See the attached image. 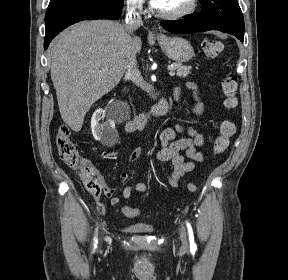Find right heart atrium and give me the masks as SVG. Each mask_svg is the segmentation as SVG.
<instances>
[{
  "mask_svg": "<svg viewBox=\"0 0 288 280\" xmlns=\"http://www.w3.org/2000/svg\"><path fill=\"white\" fill-rule=\"evenodd\" d=\"M126 6L129 11L140 13L145 9V1L144 0H125Z\"/></svg>",
  "mask_w": 288,
  "mask_h": 280,
  "instance_id": "right-heart-atrium-1",
  "label": "right heart atrium"
}]
</instances>
